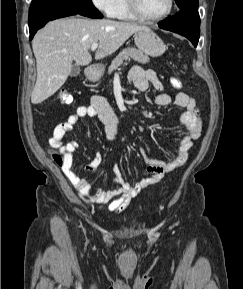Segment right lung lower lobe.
Segmentation results:
<instances>
[{
	"mask_svg": "<svg viewBox=\"0 0 243 289\" xmlns=\"http://www.w3.org/2000/svg\"><path fill=\"white\" fill-rule=\"evenodd\" d=\"M70 15H82L90 18H102V14L93 6L60 0H33L30 7L28 25L30 40L37 30L47 22Z\"/></svg>",
	"mask_w": 243,
	"mask_h": 289,
	"instance_id": "1",
	"label": "right lung lower lobe"
}]
</instances>
